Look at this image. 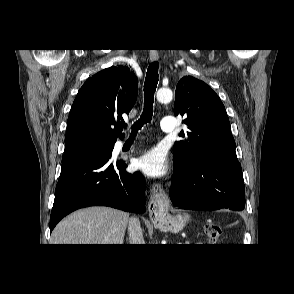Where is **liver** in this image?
<instances>
[{
  "instance_id": "liver-1",
  "label": "liver",
  "mask_w": 294,
  "mask_h": 294,
  "mask_svg": "<svg viewBox=\"0 0 294 294\" xmlns=\"http://www.w3.org/2000/svg\"><path fill=\"white\" fill-rule=\"evenodd\" d=\"M129 214L109 207L75 211L53 230L51 244H123Z\"/></svg>"
}]
</instances>
